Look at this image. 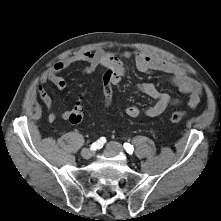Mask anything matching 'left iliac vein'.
I'll return each instance as SVG.
<instances>
[{"mask_svg": "<svg viewBox=\"0 0 221 221\" xmlns=\"http://www.w3.org/2000/svg\"><path fill=\"white\" fill-rule=\"evenodd\" d=\"M106 148L109 152L114 153V154H119L123 152L122 145L117 142H109ZM124 162H127V161L124 160Z\"/></svg>", "mask_w": 221, "mask_h": 221, "instance_id": "1", "label": "left iliac vein"}]
</instances>
